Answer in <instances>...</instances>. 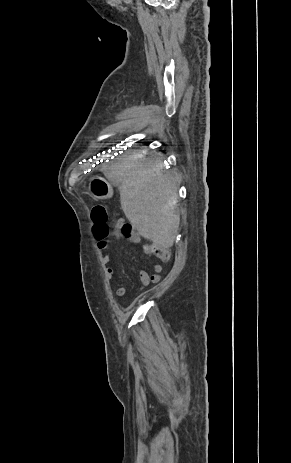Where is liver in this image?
<instances>
[{
  "mask_svg": "<svg viewBox=\"0 0 291 463\" xmlns=\"http://www.w3.org/2000/svg\"><path fill=\"white\" fill-rule=\"evenodd\" d=\"M104 175L120 184L122 210L138 233L161 248H170L180 224L177 186L161 158L123 155L104 166Z\"/></svg>",
  "mask_w": 291,
  "mask_h": 463,
  "instance_id": "obj_1",
  "label": "liver"
}]
</instances>
